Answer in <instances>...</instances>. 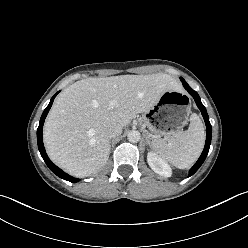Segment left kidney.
<instances>
[{"label":"left kidney","instance_id":"5707ae66","mask_svg":"<svg viewBox=\"0 0 248 248\" xmlns=\"http://www.w3.org/2000/svg\"><path fill=\"white\" fill-rule=\"evenodd\" d=\"M147 162L149 164V166L151 167V169L161 175V176H165V177H170L172 174L171 168L168 165V163L157 153L155 152H149L147 154Z\"/></svg>","mask_w":248,"mask_h":248}]
</instances>
